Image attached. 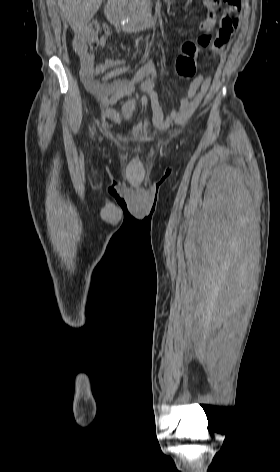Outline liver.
Returning a JSON list of instances; mask_svg holds the SVG:
<instances>
[{
    "label": "liver",
    "mask_w": 280,
    "mask_h": 472,
    "mask_svg": "<svg viewBox=\"0 0 280 472\" xmlns=\"http://www.w3.org/2000/svg\"><path fill=\"white\" fill-rule=\"evenodd\" d=\"M75 33H80L98 11L102 0H57Z\"/></svg>",
    "instance_id": "liver-1"
}]
</instances>
